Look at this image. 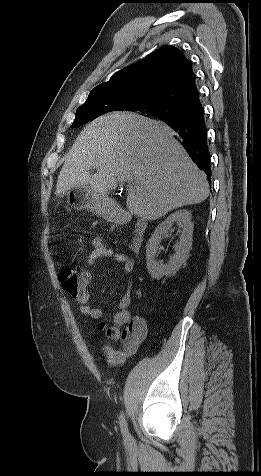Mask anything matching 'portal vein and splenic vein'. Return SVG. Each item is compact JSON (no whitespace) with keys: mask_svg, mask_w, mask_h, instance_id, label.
<instances>
[{"mask_svg":"<svg viewBox=\"0 0 261 476\" xmlns=\"http://www.w3.org/2000/svg\"><path fill=\"white\" fill-rule=\"evenodd\" d=\"M121 179H122L123 181H128V183L131 182V181H130L128 178H126V177H121Z\"/></svg>","mask_w":261,"mask_h":476,"instance_id":"obj_1","label":"portal vein and splenic vein"}]
</instances>
